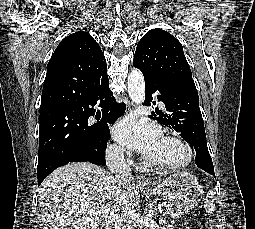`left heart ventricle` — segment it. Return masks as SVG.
Here are the masks:
<instances>
[{"label":"left heart ventricle","instance_id":"obj_1","mask_svg":"<svg viewBox=\"0 0 255 229\" xmlns=\"http://www.w3.org/2000/svg\"><path fill=\"white\" fill-rule=\"evenodd\" d=\"M148 157L165 162H178L184 158V151L177 144L162 137L155 150Z\"/></svg>","mask_w":255,"mask_h":229}]
</instances>
